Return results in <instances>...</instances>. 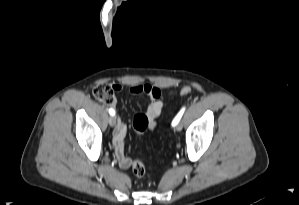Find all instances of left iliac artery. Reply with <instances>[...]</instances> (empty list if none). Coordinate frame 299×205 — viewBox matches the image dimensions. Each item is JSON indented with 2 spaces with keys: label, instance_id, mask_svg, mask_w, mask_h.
I'll return each mask as SVG.
<instances>
[{
  "label": "left iliac artery",
  "instance_id": "44dca946",
  "mask_svg": "<svg viewBox=\"0 0 299 205\" xmlns=\"http://www.w3.org/2000/svg\"><path fill=\"white\" fill-rule=\"evenodd\" d=\"M185 107H183L180 111H179V113L176 115V117L173 119V121H172V126H176L178 123H179V121H180V119H181V117H182V115H183V113H184V111H185Z\"/></svg>",
  "mask_w": 299,
  "mask_h": 205
}]
</instances>
